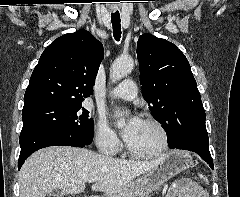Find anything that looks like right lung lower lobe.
Here are the masks:
<instances>
[{"label": "right lung lower lobe", "instance_id": "obj_1", "mask_svg": "<svg viewBox=\"0 0 240 197\" xmlns=\"http://www.w3.org/2000/svg\"><path fill=\"white\" fill-rule=\"evenodd\" d=\"M21 152L18 160V169L24 161L36 150L48 146H75L85 147L87 144L70 136L66 132L51 128L30 126L23 127L20 134Z\"/></svg>", "mask_w": 240, "mask_h": 197}]
</instances>
